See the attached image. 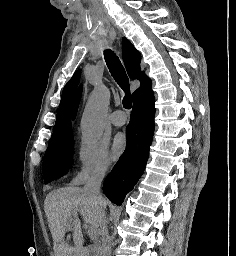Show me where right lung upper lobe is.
<instances>
[{
	"label": "right lung upper lobe",
	"instance_id": "obj_1",
	"mask_svg": "<svg viewBox=\"0 0 236 256\" xmlns=\"http://www.w3.org/2000/svg\"><path fill=\"white\" fill-rule=\"evenodd\" d=\"M122 55L128 75L131 79H139L141 86L133 92V101L151 87V80L144 72L140 74L141 55L125 37L122 39ZM80 79V71H77L64 87L61 102L57 111L54 133L51 141L64 138L72 133L70 123V107L73 94Z\"/></svg>",
	"mask_w": 236,
	"mask_h": 256
}]
</instances>
